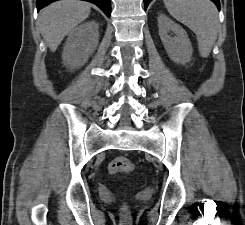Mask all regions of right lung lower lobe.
I'll return each mask as SVG.
<instances>
[{
  "label": "right lung lower lobe",
  "instance_id": "obj_1",
  "mask_svg": "<svg viewBox=\"0 0 245 225\" xmlns=\"http://www.w3.org/2000/svg\"><path fill=\"white\" fill-rule=\"evenodd\" d=\"M57 0H36L37 10ZM96 4L108 17L111 15V0H85Z\"/></svg>",
  "mask_w": 245,
  "mask_h": 225
}]
</instances>
